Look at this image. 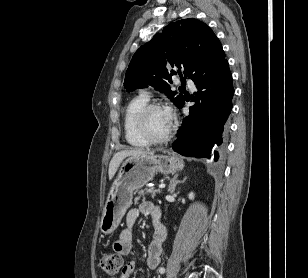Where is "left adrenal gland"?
I'll list each match as a JSON object with an SVG mask.
<instances>
[{
	"mask_svg": "<svg viewBox=\"0 0 308 278\" xmlns=\"http://www.w3.org/2000/svg\"><path fill=\"white\" fill-rule=\"evenodd\" d=\"M177 177H178V174L174 175V177L170 180L169 189H168L170 194L174 193L177 184L183 183L187 179V178H184L183 180L180 181V180H177Z\"/></svg>",
	"mask_w": 308,
	"mask_h": 278,
	"instance_id": "a2214340",
	"label": "left adrenal gland"
}]
</instances>
